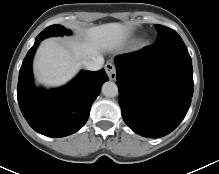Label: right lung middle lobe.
<instances>
[{"instance_id":"1","label":"right lung middle lobe","mask_w":219,"mask_h":174,"mask_svg":"<svg viewBox=\"0 0 219 174\" xmlns=\"http://www.w3.org/2000/svg\"><path fill=\"white\" fill-rule=\"evenodd\" d=\"M71 31L69 29L64 28L61 25H51L47 28H45L37 37L36 40H43L46 37L51 36H58V35H64V34H70Z\"/></svg>"}]
</instances>
